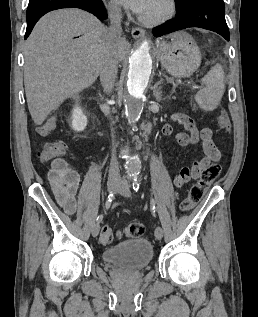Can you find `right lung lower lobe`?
<instances>
[{
  "label": "right lung lower lobe",
  "mask_w": 258,
  "mask_h": 317,
  "mask_svg": "<svg viewBox=\"0 0 258 317\" xmlns=\"http://www.w3.org/2000/svg\"><path fill=\"white\" fill-rule=\"evenodd\" d=\"M61 8H80L94 14L100 20L107 18V12L102 0H29L26 13L27 29L25 39L44 14Z\"/></svg>",
  "instance_id": "obj_1"
}]
</instances>
